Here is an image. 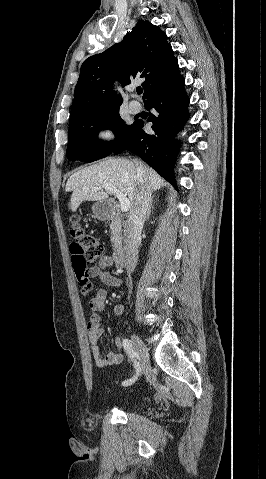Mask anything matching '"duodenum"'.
<instances>
[{
	"mask_svg": "<svg viewBox=\"0 0 266 479\" xmlns=\"http://www.w3.org/2000/svg\"><path fill=\"white\" fill-rule=\"evenodd\" d=\"M117 203L115 201H109L107 203V213L116 223L120 220L119 213L116 210ZM114 262L117 269H122L126 265V253L123 248H119L114 253Z\"/></svg>",
	"mask_w": 266,
	"mask_h": 479,
	"instance_id": "obj_1",
	"label": "duodenum"
}]
</instances>
